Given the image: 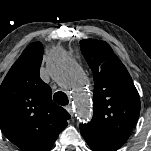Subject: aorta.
I'll return each instance as SVG.
<instances>
[{
    "label": "aorta",
    "instance_id": "1",
    "mask_svg": "<svg viewBox=\"0 0 151 151\" xmlns=\"http://www.w3.org/2000/svg\"><path fill=\"white\" fill-rule=\"evenodd\" d=\"M78 66L69 60L62 49H56L52 55L50 64V72L53 76L64 80H72L74 74L78 71ZM73 98L76 105V114L81 122H85L90 118V104L87 93L81 86L77 85L73 90Z\"/></svg>",
    "mask_w": 151,
    "mask_h": 151
}]
</instances>
